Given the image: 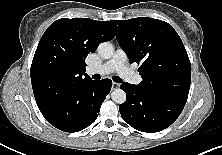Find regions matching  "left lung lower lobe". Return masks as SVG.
<instances>
[{
  "label": "left lung lower lobe",
  "mask_w": 222,
  "mask_h": 155,
  "mask_svg": "<svg viewBox=\"0 0 222 155\" xmlns=\"http://www.w3.org/2000/svg\"><path fill=\"white\" fill-rule=\"evenodd\" d=\"M127 94L119 105L122 118L141 132L154 133L169 127L180 115L184 105L142 91L138 86L124 82L121 86Z\"/></svg>",
  "instance_id": "obj_1"
}]
</instances>
